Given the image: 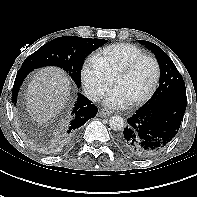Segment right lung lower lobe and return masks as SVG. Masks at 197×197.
Segmentation results:
<instances>
[{"label":"right lung lower lobe","instance_id":"obj_1","mask_svg":"<svg viewBox=\"0 0 197 197\" xmlns=\"http://www.w3.org/2000/svg\"><path fill=\"white\" fill-rule=\"evenodd\" d=\"M33 70L30 67H21L16 75L12 90V102L16 104L19 88L25 77ZM97 108L92 102L81 94H78L77 102L71 112L70 120L63 126L61 136L65 141H71L77 135L80 127L87 120L97 114Z\"/></svg>","mask_w":197,"mask_h":197}]
</instances>
